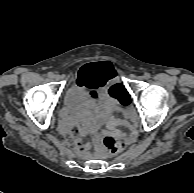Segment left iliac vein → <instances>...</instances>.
<instances>
[{"instance_id":"1","label":"left iliac vein","mask_w":194,"mask_h":193,"mask_svg":"<svg viewBox=\"0 0 194 193\" xmlns=\"http://www.w3.org/2000/svg\"><path fill=\"white\" fill-rule=\"evenodd\" d=\"M145 78V77H144ZM139 79H143V77H139Z\"/></svg>"}]
</instances>
